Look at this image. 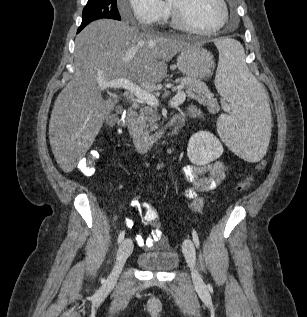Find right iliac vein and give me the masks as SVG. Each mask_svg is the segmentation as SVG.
Segmentation results:
<instances>
[{
  "mask_svg": "<svg viewBox=\"0 0 307 317\" xmlns=\"http://www.w3.org/2000/svg\"><path fill=\"white\" fill-rule=\"evenodd\" d=\"M133 250V243L130 239H125L120 244V247L118 249L116 262L114 265V268L108 277L107 283L109 285H114L121 273V270L127 260V258L130 256L131 252Z\"/></svg>",
  "mask_w": 307,
  "mask_h": 317,
  "instance_id": "right-iliac-vein-1",
  "label": "right iliac vein"
}]
</instances>
